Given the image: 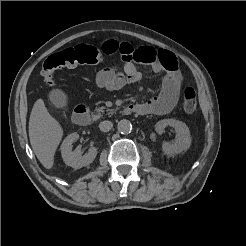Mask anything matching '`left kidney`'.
Returning <instances> with one entry per match:
<instances>
[{
    "mask_svg": "<svg viewBox=\"0 0 246 246\" xmlns=\"http://www.w3.org/2000/svg\"><path fill=\"white\" fill-rule=\"evenodd\" d=\"M167 126L173 127L177 134L174 143H162V151L166 155H174L182 151H187L191 145V135L188 126L179 120L163 119L156 123L155 130L158 134H162Z\"/></svg>",
    "mask_w": 246,
    "mask_h": 246,
    "instance_id": "5707ae66",
    "label": "left kidney"
}]
</instances>
